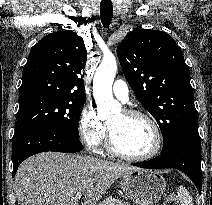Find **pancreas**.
I'll return each mask as SVG.
<instances>
[{
    "instance_id": "obj_1",
    "label": "pancreas",
    "mask_w": 212,
    "mask_h": 205,
    "mask_svg": "<svg viewBox=\"0 0 212 205\" xmlns=\"http://www.w3.org/2000/svg\"><path fill=\"white\" fill-rule=\"evenodd\" d=\"M99 205H130L116 198H106Z\"/></svg>"
}]
</instances>
